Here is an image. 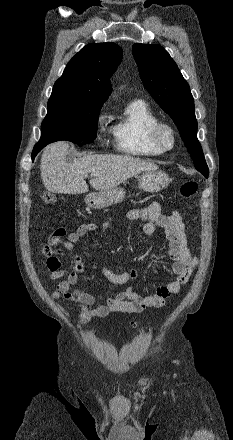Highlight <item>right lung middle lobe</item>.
Wrapping results in <instances>:
<instances>
[{"label": "right lung middle lobe", "instance_id": "dd1d6c3e", "mask_svg": "<svg viewBox=\"0 0 233 440\" xmlns=\"http://www.w3.org/2000/svg\"><path fill=\"white\" fill-rule=\"evenodd\" d=\"M103 104L48 102V113L41 125L40 143L67 140L78 145L94 142Z\"/></svg>", "mask_w": 233, "mask_h": 440}]
</instances>
